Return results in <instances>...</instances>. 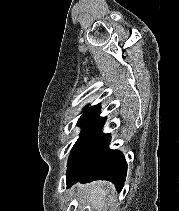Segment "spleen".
Listing matches in <instances>:
<instances>
[{"label": "spleen", "instance_id": "obj_1", "mask_svg": "<svg viewBox=\"0 0 179 211\" xmlns=\"http://www.w3.org/2000/svg\"><path fill=\"white\" fill-rule=\"evenodd\" d=\"M86 202L92 208H103L107 206L106 197L110 192V186H106L102 182L89 184L84 189Z\"/></svg>", "mask_w": 179, "mask_h": 211}]
</instances>
